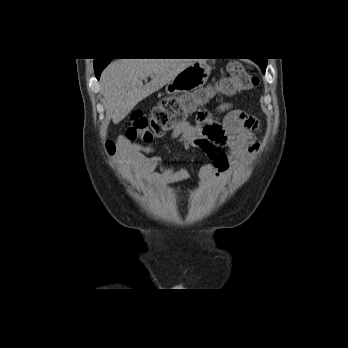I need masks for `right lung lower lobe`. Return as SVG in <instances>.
I'll return each mask as SVG.
<instances>
[{
  "label": "right lung lower lobe",
  "mask_w": 348,
  "mask_h": 348,
  "mask_svg": "<svg viewBox=\"0 0 348 348\" xmlns=\"http://www.w3.org/2000/svg\"><path fill=\"white\" fill-rule=\"evenodd\" d=\"M105 66L104 65H94V69H95V73H96V77L97 79H99L100 73L103 70Z\"/></svg>",
  "instance_id": "right-lung-lower-lobe-1"
}]
</instances>
